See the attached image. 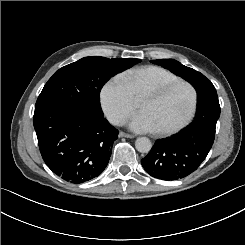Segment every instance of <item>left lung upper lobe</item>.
<instances>
[{
    "mask_svg": "<svg viewBox=\"0 0 245 245\" xmlns=\"http://www.w3.org/2000/svg\"><path fill=\"white\" fill-rule=\"evenodd\" d=\"M154 64L163 66L166 69H169L171 72L181 76L188 82H190L196 89L203 82L209 81L203 74L197 72L196 70L182 65L180 62L174 59H159L152 60Z\"/></svg>",
    "mask_w": 245,
    "mask_h": 245,
    "instance_id": "5c2ea615",
    "label": "left lung upper lobe"
}]
</instances>
